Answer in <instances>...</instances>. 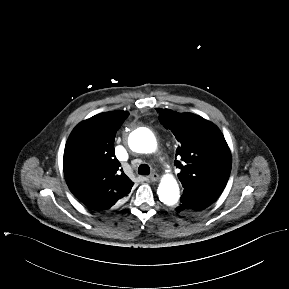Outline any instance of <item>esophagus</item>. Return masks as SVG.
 <instances>
[{
	"label": "esophagus",
	"mask_w": 289,
	"mask_h": 289,
	"mask_svg": "<svg viewBox=\"0 0 289 289\" xmlns=\"http://www.w3.org/2000/svg\"><path fill=\"white\" fill-rule=\"evenodd\" d=\"M150 180L151 181H158L159 180V175L157 173H152L150 176H149Z\"/></svg>",
	"instance_id": "1"
}]
</instances>
